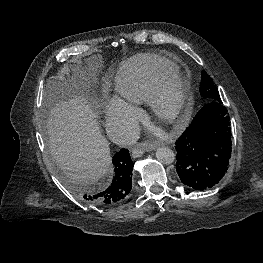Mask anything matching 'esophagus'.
Masks as SVG:
<instances>
[{
	"instance_id": "esophagus-1",
	"label": "esophagus",
	"mask_w": 263,
	"mask_h": 263,
	"mask_svg": "<svg viewBox=\"0 0 263 263\" xmlns=\"http://www.w3.org/2000/svg\"><path fill=\"white\" fill-rule=\"evenodd\" d=\"M156 148V145L149 144L146 146H143L142 144H138L135 147L132 148V157L133 158H139L141 157L145 151H151Z\"/></svg>"
}]
</instances>
